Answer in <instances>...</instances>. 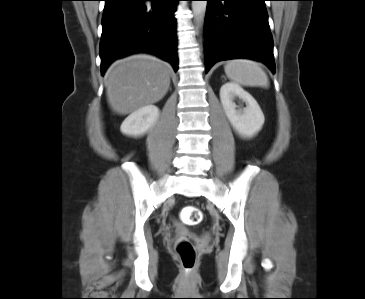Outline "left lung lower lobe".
I'll return each instance as SVG.
<instances>
[{
  "label": "left lung lower lobe",
  "instance_id": "left-lung-lower-lobe-1",
  "mask_svg": "<svg viewBox=\"0 0 365 299\" xmlns=\"http://www.w3.org/2000/svg\"><path fill=\"white\" fill-rule=\"evenodd\" d=\"M206 1L205 72L222 60L249 58L263 62L274 73L266 0Z\"/></svg>",
  "mask_w": 365,
  "mask_h": 299
}]
</instances>
